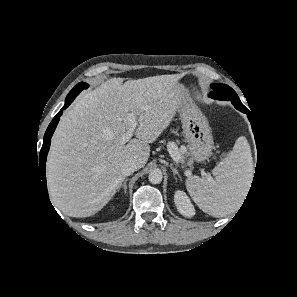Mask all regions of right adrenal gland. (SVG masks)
<instances>
[{"mask_svg": "<svg viewBox=\"0 0 297 297\" xmlns=\"http://www.w3.org/2000/svg\"><path fill=\"white\" fill-rule=\"evenodd\" d=\"M127 181H128V179L126 178V179L123 181V183L120 184V186L118 187V192L120 191L121 188L124 189V193L127 192V185H126V184H127Z\"/></svg>", "mask_w": 297, "mask_h": 297, "instance_id": "right-adrenal-gland-1", "label": "right adrenal gland"}]
</instances>
